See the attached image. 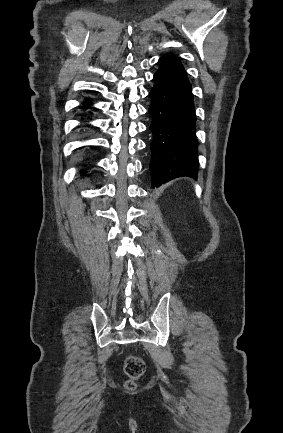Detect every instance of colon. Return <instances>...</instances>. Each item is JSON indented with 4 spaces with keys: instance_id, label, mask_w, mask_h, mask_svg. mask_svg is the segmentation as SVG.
I'll use <instances>...</instances> for the list:
<instances>
[{
    "instance_id": "5ec220e1",
    "label": "colon",
    "mask_w": 283,
    "mask_h": 433,
    "mask_svg": "<svg viewBox=\"0 0 283 433\" xmlns=\"http://www.w3.org/2000/svg\"><path fill=\"white\" fill-rule=\"evenodd\" d=\"M145 365L142 359L137 356H128L124 363V371L128 376L126 387L132 389L134 381L138 379L144 372Z\"/></svg>"
}]
</instances>
